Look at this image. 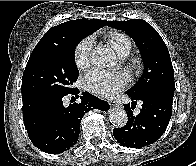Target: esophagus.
<instances>
[{
	"instance_id": "esophagus-1",
	"label": "esophagus",
	"mask_w": 196,
	"mask_h": 166,
	"mask_svg": "<svg viewBox=\"0 0 196 166\" xmlns=\"http://www.w3.org/2000/svg\"><path fill=\"white\" fill-rule=\"evenodd\" d=\"M109 105H110L111 107H118V106H119V104H118L116 101H114V100H110V101H109Z\"/></svg>"
}]
</instances>
